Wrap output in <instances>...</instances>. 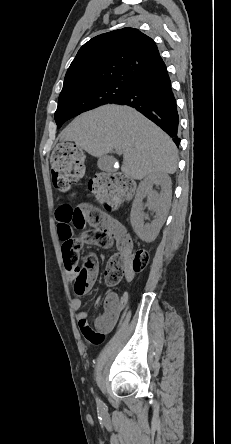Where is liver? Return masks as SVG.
I'll list each match as a JSON object with an SVG mask.
<instances>
[{"instance_id": "liver-1", "label": "liver", "mask_w": 231, "mask_h": 444, "mask_svg": "<svg viewBox=\"0 0 231 444\" xmlns=\"http://www.w3.org/2000/svg\"><path fill=\"white\" fill-rule=\"evenodd\" d=\"M97 158L123 154L122 172L137 180L152 173H175L178 150L172 139L141 113L108 104L77 116L60 134Z\"/></svg>"}]
</instances>
